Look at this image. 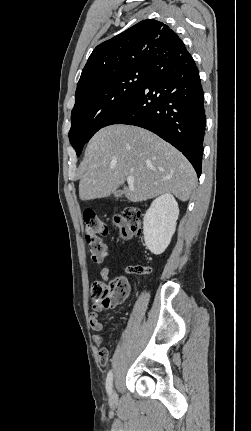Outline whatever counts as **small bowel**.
<instances>
[{
    "label": "small bowel",
    "mask_w": 251,
    "mask_h": 431,
    "mask_svg": "<svg viewBox=\"0 0 251 431\" xmlns=\"http://www.w3.org/2000/svg\"><path fill=\"white\" fill-rule=\"evenodd\" d=\"M150 272V268L144 267V272L142 274H147ZM111 271L109 268H102L100 271V275L104 281H108L110 277ZM102 307L94 305L93 311L90 314V326L94 332L93 340L95 344L99 347L97 352V357L100 360L98 362V367L100 369H105L107 367V362L110 360V347L104 346L102 347L103 338L100 334L101 330L103 329V324L99 320L98 313L102 311Z\"/></svg>",
    "instance_id": "1"
}]
</instances>
